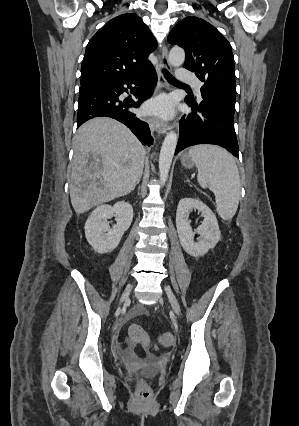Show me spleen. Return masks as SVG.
<instances>
[{
	"mask_svg": "<svg viewBox=\"0 0 299 426\" xmlns=\"http://www.w3.org/2000/svg\"><path fill=\"white\" fill-rule=\"evenodd\" d=\"M189 155L198 168L200 186L215 194L218 214L223 219H231L240 198V177L235 160L224 149L212 145L194 146Z\"/></svg>",
	"mask_w": 299,
	"mask_h": 426,
	"instance_id": "1",
	"label": "spleen"
}]
</instances>
